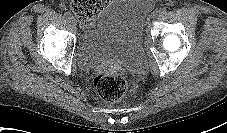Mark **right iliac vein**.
<instances>
[{"instance_id":"63e3f726","label":"right iliac vein","mask_w":227,"mask_h":133,"mask_svg":"<svg viewBox=\"0 0 227 133\" xmlns=\"http://www.w3.org/2000/svg\"><path fill=\"white\" fill-rule=\"evenodd\" d=\"M71 22L73 23V24H75L76 23V19L72 16L71 18Z\"/></svg>"}]
</instances>
